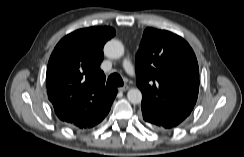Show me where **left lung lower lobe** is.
<instances>
[{"mask_svg": "<svg viewBox=\"0 0 244 157\" xmlns=\"http://www.w3.org/2000/svg\"><path fill=\"white\" fill-rule=\"evenodd\" d=\"M141 110H142V116L144 121H146L147 123H149L150 125H152L157 129H162V130L168 129L165 126H163L147 108L141 107Z\"/></svg>", "mask_w": 244, "mask_h": 157, "instance_id": "0a47b994", "label": "left lung lower lobe"}]
</instances>
